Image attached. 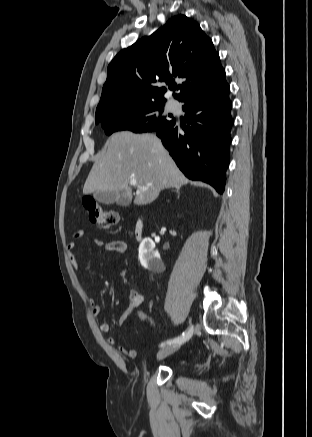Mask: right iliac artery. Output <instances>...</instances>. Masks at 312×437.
<instances>
[{
    "mask_svg": "<svg viewBox=\"0 0 312 437\" xmlns=\"http://www.w3.org/2000/svg\"><path fill=\"white\" fill-rule=\"evenodd\" d=\"M193 334V327L191 326L186 332H183L181 336L174 338L173 340H168L161 344V346H165L166 344H173V343H184L187 340L190 339V337Z\"/></svg>",
    "mask_w": 312,
    "mask_h": 437,
    "instance_id": "obj_1",
    "label": "right iliac artery"
}]
</instances>
